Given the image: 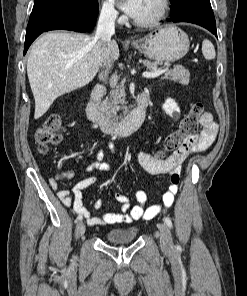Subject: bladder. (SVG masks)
<instances>
[{"label":"bladder","instance_id":"obj_1","mask_svg":"<svg viewBox=\"0 0 247 296\" xmlns=\"http://www.w3.org/2000/svg\"><path fill=\"white\" fill-rule=\"evenodd\" d=\"M138 228L128 226L124 228H114L107 232L106 240L112 244L129 243L135 240Z\"/></svg>","mask_w":247,"mask_h":296}]
</instances>
